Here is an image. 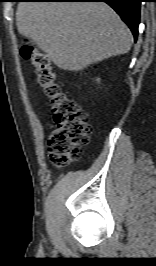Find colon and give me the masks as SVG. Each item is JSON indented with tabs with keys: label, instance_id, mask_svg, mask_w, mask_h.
Segmentation results:
<instances>
[{
	"label": "colon",
	"instance_id": "5ec220e1",
	"mask_svg": "<svg viewBox=\"0 0 156 266\" xmlns=\"http://www.w3.org/2000/svg\"><path fill=\"white\" fill-rule=\"evenodd\" d=\"M22 58L30 60L35 79L49 101L53 130L48 141L50 162L61 168L78 159L89 141L88 114L64 90L53 71L49 57L32 43L20 47Z\"/></svg>",
	"mask_w": 156,
	"mask_h": 266
}]
</instances>
